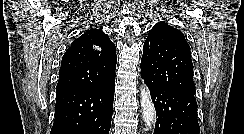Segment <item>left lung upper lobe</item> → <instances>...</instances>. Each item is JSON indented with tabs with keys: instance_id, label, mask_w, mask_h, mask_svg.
<instances>
[{
	"instance_id": "obj_1",
	"label": "left lung upper lobe",
	"mask_w": 244,
	"mask_h": 134,
	"mask_svg": "<svg viewBox=\"0 0 244 134\" xmlns=\"http://www.w3.org/2000/svg\"><path fill=\"white\" fill-rule=\"evenodd\" d=\"M143 48L141 70L155 86L194 93L190 46L181 31L156 23Z\"/></svg>"
}]
</instances>
